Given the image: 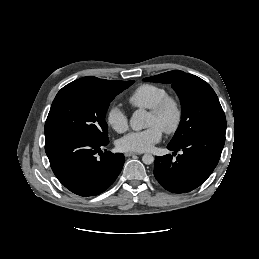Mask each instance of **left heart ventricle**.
<instances>
[{
    "mask_svg": "<svg viewBox=\"0 0 259 259\" xmlns=\"http://www.w3.org/2000/svg\"><path fill=\"white\" fill-rule=\"evenodd\" d=\"M172 120V112L167 111L164 116L158 118L149 113L147 125H157L162 128L165 124L169 123Z\"/></svg>",
    "mask_w": 259,
    "mask_h": 259,
    "instance_id": "obj_1",
    "label": "left heart ventricle"
}]
</instances>
